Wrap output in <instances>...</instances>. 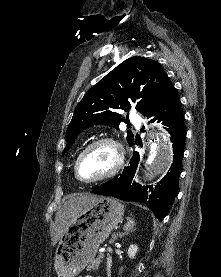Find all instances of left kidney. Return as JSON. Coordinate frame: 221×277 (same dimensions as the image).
Listing matches in <instances>:
<instances>
[{
    "label": "left kidney",
    "instance_id": "5707ae66",
    "mask_svg": "<svg viewBox=\"0 0 221 277\" xmlns=\"http://www.w3.org/2000/svg\"><path fill=\"white\" fill-rule=\"evenodd\" d=\"M137 251H138V246L137 245H134V244L130 245V247L128 248L129 258L134 259L135 256H136Z\"/></svg>",
    "mask_w": 221,
    "mask_h": 277
}]
</instances>
